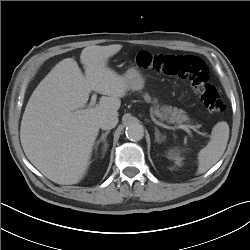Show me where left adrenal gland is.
I'll list each match as a JSON object with an SVG mask.
<instances>
[{
	"instance_id": "left-adrenal-gland-1",
	"label": "left adrenal gland",
	"mask_w": 250,
	"mask_h": 250,
	"mask_svg": "<svg viewBox=\"0 0 250 250\" xmlns=\"http://www.w3.org/2000/svg\"><path fill=\"white\" fill-rule=\"evenodd\" d=\"M166 136L162 135L157 128H155V139L158 143L164 141Z\"/></svg>"
}]
</instances>
